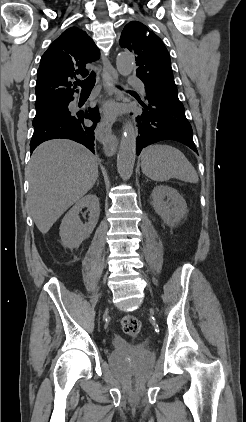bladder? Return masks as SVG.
<instances>
[{"label":"bladder","mask_w":246,"mask_h":422,"mask_svg":"<svg viewBox=\"0 0 246 422\" xmlns=\"http://www.w3.org/2000/svg\"><path fill=\"white\" fill-rule=\"evenodd\" d=\"M125 358H129L139 367H149L154 362V355L147 350L129 349L126 347H117L110 355V362L118 364Z\"/></svg>","instance_id":"31cf9c89"}]
</instances>
